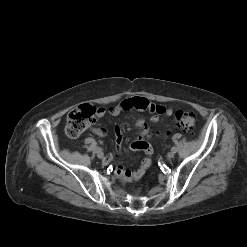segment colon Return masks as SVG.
<instances>
[{
    "mask_svg": "<svg viewBox=\"0 0 247 247\" xmlns=\"http://www.w3.org/2000/svg\"><path fill=\"white\" fill-rule=\"evenodd\" d=\"M97 108L92 105H81L71 110L67 116L65 132L68 137L76 138L94 121ZM176 127L184 132H192L196 126V117L192 112L178 111L175 115Z\"/></svg>",
    "mask_w": 247,
    "mask_h": 247,
    "instance_id": "obj_1",
    "label": "colon"
}]
</instances>
